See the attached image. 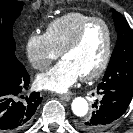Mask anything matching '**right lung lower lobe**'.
I'll list each match as a JSON object with an SVG mask.
<instances>
[{"instance_id":"1","label":"right lung lower lobe","mask_w":133,"mask_h":133,"mask_svg":"<svg viewBox=\"0 0 133 133\" xmlns=\"http://www.w3.org/2000/svg\"><path fill=\"white\" fill-rule=\"evenodd\" d=\"M30 77L20 63L17 69L0 74V130H18L28 124L42 101L39 92L23 96Z\"/></svg>"}]
</instances>
